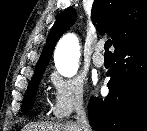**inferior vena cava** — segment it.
Instances as JSON below:
<instances>
[{
  "mask_svg": "<svg viewBox=\"0 0 147 131\" xmlns=\"http://www.w3.org/2000/svg\"><path fill=\"white\" fill-rule=\"evenodd\" d=\"M76 122L80 131H91L86 112L82 104H79L76 108Z\"/></svg>",
  "mask_w": 147,
  "mask_h": 131,
  "instance_id": "obj_1",
  "label": "inferior vena cava"
}]
</instances>
